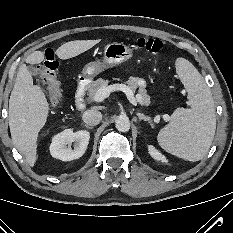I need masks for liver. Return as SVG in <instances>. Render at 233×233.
I'll use <instances>...</instances> for the list:
<instances>
[{
	"instance_id": "obj_1",
	"label": "liver",
	"mask_w": 233,
	"mask_h": 233,
	"mask_svg": "<svg viewBox=\"0 0 233 233\" xmlns=\"http://www.w3.org/2000/svg\"><path fill=\"white\" fill-rule=\"evenodd\" d=\"M100 40H76L61 45L56 55L62 60L70 59L91 49ZM45 60L44 52L35 51L26 58V63L37 65ZM49 116V103L44 91L33 85L26 64L19 67L9 99V128L16 149L27 163L34 167L37 161V140L40 130Z\"/></svg>"
}]
</instances>
